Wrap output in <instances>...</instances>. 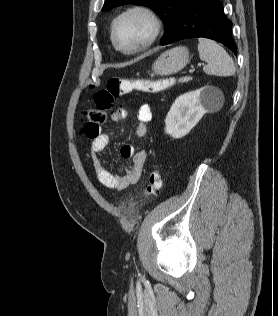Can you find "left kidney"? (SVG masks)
Listing matches in <instances>:
<instances>
[{"label": "left kidney", "mask_w": 278, "mask_h": 316, "mask_svg": "<svg viewBox=\"0 0 278 316\" xmlns=\"http://www.w3.org/2000/svg\"><path fill=\"white\" fill-rule=\"evenodd\" d=\"M220 95L219 89L212 86L180 95L166 116L165 132L176 139L187 135Z\"/></svg>", "instance_id": "obj_1"}]
</instances>
